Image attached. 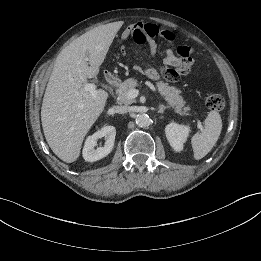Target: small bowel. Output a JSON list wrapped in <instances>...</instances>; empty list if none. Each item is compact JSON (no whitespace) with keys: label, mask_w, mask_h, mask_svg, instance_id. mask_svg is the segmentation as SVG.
Returning a JSON list of instances; mask_svg holds the SVG:
<instances>
[{"label":"small bowel","mask_w":261,"mask_h":261,"mask_svg":"<svg viewBox=\"0 0 261 261\" xmlns=\"http://www.w3.org/2000/svg\"><path fill=\"white\" fill-rule=\"evenodd\" d=\"M140 24V23H139ZM153 25V24H152ZM131 35L135 42L140 43L135 35ZM145 37V36H144ZM156 37L149 36L145 37V41L143 43H147L148 51L152 58L155 57L157 52V43L155 41ZM165 40V39H164ZM123 52L124 49L122 50ZM192 49L189 46H179L177 48V52H174L173 49L167 48L165 51V56L161 59V64L173 72V79L171 81H177L181 76L186 75L190 72L191 67L193 66V59H192ZM146 73L149 75L150 78L156 80L158 79V73L156 70L152 68L146 69Z\"/></svg>","instance_id":"1"}]
</instances>
